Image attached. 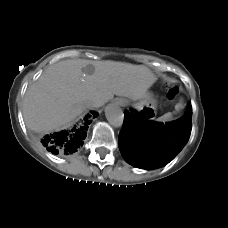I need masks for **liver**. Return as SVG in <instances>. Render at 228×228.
Instances as JSON below:
<instances>
[{"instance_id":"liver-1","label":"liver","mask_w":228,"mask_h":228,"mask_svg":"<svg viewBox=\"0 0 228 228\" xmlns=\"http://www.w3.org/2000/svg\"><path fill=\"white\" fill-rule=\"evenodd\" d=\"M86 60L69 59L48 67L24 98L25 124L36 132L67 126L82 114L87 101L103 106L114 95L133 101L143 99L157 77L144 65L95 61L94 72L85 74Z\"/></svg>"}]
</instances>
